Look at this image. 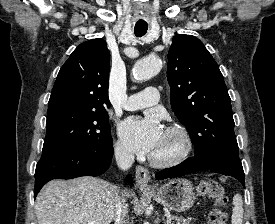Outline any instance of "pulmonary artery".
<instances>
[{"instance_id":"pulmonary-artery-1","label":"pulmonary artery","mask_w":275,"mask_h":224,"mask_svg":"<svg viewBox=\"0 0 275 224\" xmlns=\"http://www.w3.org/2000/svg\"><path fill=\"white\" fill-rule=\"evenodd\" d=\"M160 98V92L155 87H147L142 92L128 97L124 108L130 111L155 105Z\"/></svg>"}]
</instances>
